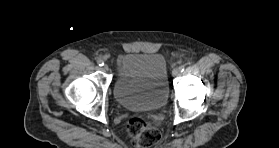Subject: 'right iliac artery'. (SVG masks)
Segmentation results:
<instances>
[{
	"label": "right iliac artery",
	"instance_id": "obj_1",
	"mask_svg": "<svg viewBox=\"0 0 279 148\" xmlns=\"http://www.w3.org/2000/svg\"><path fill=\"white\" fill-rule=\"evenodd\" d=\"M97 64H98L99 66H103V65H104V62H103V60L99 59V60L97 61Z\"/></svg>",
	"mask_w": 279,
	"mask_h": 148
}]
</instances>
